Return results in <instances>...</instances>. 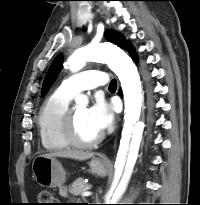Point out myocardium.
Wrapping results in <instances>:
<instances>
[{
    "label": "myocardium",
    "instance_id": "obj_1",
    "mask_svg": "<svg viewBox=\"0 0 200 205\" xmlns=\"http://www.w3.org/2000/svg\"><path fill=\"white\" fill-rule=\"evenodd\" d=\"M63 135L70 146L76 148H91L98 145L103 140V134L100 133L96 138L84 141L76 133L74 107L68 108L63 122Z\"/></svg>",
    "mask_w": 200,
    "mask_h": 205
}]
</instances>
